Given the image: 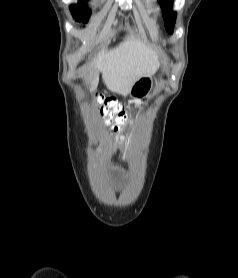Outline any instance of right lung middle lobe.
<instances>
[{
	"label": "right lung middle lobe",
	"instance_id": "1",
	"mask_svg": "<svg viewBox=\"0 0 238 278\" xmlns=\"http://www.w3.org/2000/svg\"><path fill=\"white\" fill-rule=\"evenodd\" d=\"M71 13L76 21L86 23L89 19L91 11L85 4H77L70 6Z\"/></svg>",
	"mask_w": 238,
	"mask_h": 278
}]
</instances>
